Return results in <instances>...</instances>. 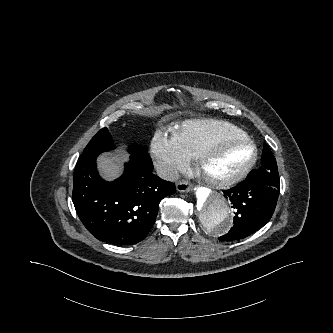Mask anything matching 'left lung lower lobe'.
Listing matches in <instances>:
<instances>
[{"label":"left lung lower lobe","mask_w":333,"mask_h":333,"mask_svg":"<svg viewBox=\"0 0 333 333\" xmlns=\"http://www.w3.org/2000/svg\"><path fill=\"white\" fill-rule=\"evenodd\" d=\"M264 154H270L264 144ZM280 181L275 177H255L253 170L237 186L224 190L235 208L234 225L220 241L242 239L263 227L272 217L279 196Z\"/></svg>","instance_id":"1"}]
</instances>
